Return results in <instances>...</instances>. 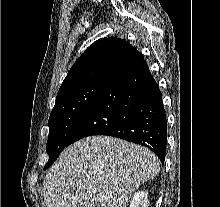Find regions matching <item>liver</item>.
<instances>
[{"mask_svg": "<svg viewBox=\"0 0 220 207\" xmlns=\"http://www.w3.org/2000/svg\"><path fill=\"white\" fill-rule=\"evenodd\" d=\"M160 171L148 148L110 136L67 147L43 181L47 207H127L132 193Z\"/></svg>", "mask_w": 220, "mask_h": 207, "instance_id": "liver-1", "label": "liver"}]
</instances>
